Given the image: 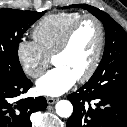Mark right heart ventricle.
<instances>
[{"mask_svg":"<svg viewBox=\"0 0 127 127\" xmlns=\"http://www.w3.org/2000/svg\"><path fill=\"white\" fill-rule=\"evenodd\" d=\"M80 16L77 12H60L47 15L36 24L32 36L45 56L52 57L65 32Z\"/></svg>","mask_w":127,"mask_h":127,"instance_id":"obj_1","label":"right heart ventricle"}]
</instances>
